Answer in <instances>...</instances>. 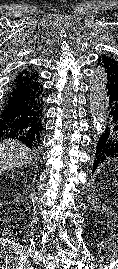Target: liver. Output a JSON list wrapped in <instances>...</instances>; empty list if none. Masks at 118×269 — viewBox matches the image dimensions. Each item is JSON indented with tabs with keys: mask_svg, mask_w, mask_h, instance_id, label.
I'll return each mask as SVG.
<instances>
[{
	"mask_svg": "<svg viewBox=\"0 0 118 269\" xmlns=\"http://www.w3.org/2000/svg\"><path fill=\"white\" fill-rule=\"evenodd\" d=\"M32 161V151L15 140L0 143V170L10 171L27 166Z\"/></svg>",
	"mask_w": 118,
	"mask_h": 269,
	"instance_id": "1",
	"label": "liver"
}]
</instances>
